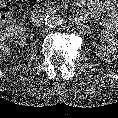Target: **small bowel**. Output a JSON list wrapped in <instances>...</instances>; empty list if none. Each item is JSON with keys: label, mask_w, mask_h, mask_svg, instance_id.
<instances>
[{"label": "small bowel", "mask_w": 118, "mask_h": 118, "mask_svg": "<svg viewBox=\"0 0 118 118\" xmlns=\"http://www.w3.org/2000/svg\"><path fill=\"white\" fill-rule=\"evenodd\" d=\"M95 6H98L99 2L94 3ZM104 12L108 16V20L112 22V29L118 33V11L113 7V5H105Z\"/></svg>", "instance_id": "c3829d8e"}]
</instances>
